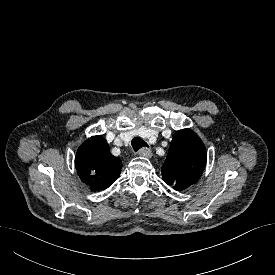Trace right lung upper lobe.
<instances>
[{"mask_svg": "<svg viewBox=\"0 0 275 275\" xmlns=\"http://www.w3.org/2000/svg\"><path fill=\"white\" fill-rule=\"evenodd\" d=\"M75 166L80 179L92 191L109 187L120 175L122 163L109 150L105 138L92 136L78 149Z\"/></svg>", "mask_w": 275, "mask_h": 275, "instance_id": "cb5924a9", "label": "right lung upper lobe"}]
</instances>
